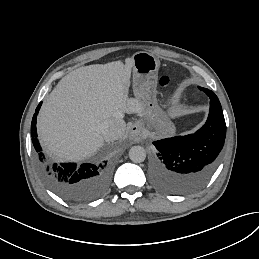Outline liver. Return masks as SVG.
I'll list each match as a JSON object with an SVG mask.
<instances>
[{
	"instance_id": "liver-1",
	"label": "liver",
	"mask_w": 259,
	"mask_h": 259,
	"mask_svg": "<svg viewBox=\"0 0 259 259\" xmlns=\"http://www.w3.org/2000/svg\"><path fill=\"white\" fill-rule=\"evenodd\" d=\"M132 58L72 71L44 101L37 127L39 139L51 154L79 160L103 144L99 125L129 113Z\"/></svg>"
}]
</instances>
